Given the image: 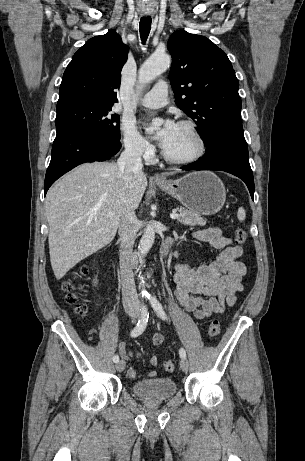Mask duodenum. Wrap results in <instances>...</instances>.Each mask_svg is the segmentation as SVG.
Listing matches in <instances>:
<instances>
[{
  "label": "duodenum",
  "mask_w": 305,
  "mask_h": 461,
  "mask_svg": "<svg viewBox=\"0 0 305 461\" xmlns=\"http://www.w3.org/2000/svg\"><path fill=\"white\" fill-rule=\"evenodd\" d=\"M172 244H173V240L168 239L161 245V248H160L161 256L165 257L168 254L169 248L171 247Z\"/></svg>",
  "instance_id": "obj_1"
}]
</instances>
